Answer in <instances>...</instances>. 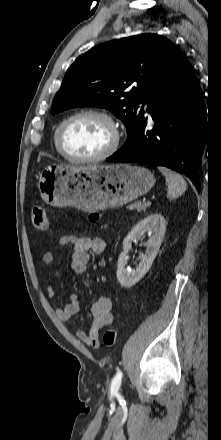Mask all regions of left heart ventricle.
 Returning <instances> with one entry per match:
<instances>
[{"label":"left heart ventricle","instance_id":"1","mask_svg":"<svg viewBox=\"0 0 221 440\" xmlns=\"http://www.w3.org/2000/svg\"><path fill=\"white\" fill-rule=\"evenodd\" d=\"M108 123L95 116H83L71 121L63 131L65 151L74 157H91L102 153L111 143Z\"/></svg>","mask_w":221,"mask_h":440}]
</instances>
